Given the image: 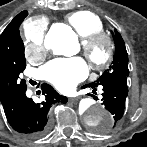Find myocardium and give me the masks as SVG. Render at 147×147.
Segmentation results:
<instances>
[{
	"label": "myocardium",
	"mask_w": 147,
	"mask_h": 147,
	"mask_svg": "<svg viewBox=\"0 0 147 147\" xmlns=\"http://www.w3.org/2000/svg\"><path fill=\"white\" fill-rule=\"evenodd\" d=\"M83 52L90 63L97 67H105L113 58L114 45L105 33H95L81 43Z\"/></svg>",
	"instance_id": "f54148a6"
}]
</instances>
